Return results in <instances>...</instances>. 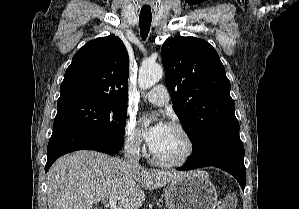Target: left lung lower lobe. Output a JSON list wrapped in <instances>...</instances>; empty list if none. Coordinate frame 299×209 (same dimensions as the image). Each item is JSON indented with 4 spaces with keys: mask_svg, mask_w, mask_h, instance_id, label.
<instances>
[{
    "mask_svg": "<svg viewBox=\"0 0 299 209\" xmlns=\"http://www.w3.org/2000/svg\"><path fill=\"white\" fill-rule=\"evenodd\" d=\"M214 166L233 175L242 187L246 184L244 146L239 136L238 120L213 130L198 150L192 151L187 163L177 170Z\"/></svg>",
    "mask_w": 299,
    "mask_h": 209,
    "instance_id": "left-lung-lower-lobe-1",
    "label": "left lung lower lobe"
}]
</instances>
